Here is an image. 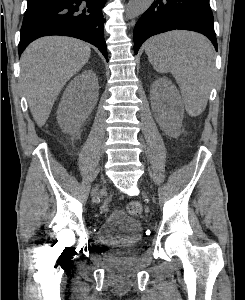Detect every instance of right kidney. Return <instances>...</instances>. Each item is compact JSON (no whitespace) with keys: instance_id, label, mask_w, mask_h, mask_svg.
I'll list each match as a JSON object with an SVG mask.
<instances>
[{"instance_id":"1","label":"right kidney","mask_w":245,"mask_h":300,"mask_svg":"<svg viewBox=\"0 0 245 300\" xmlns=\"http://www.w3.org/2000/svg\"><path fill=\"white\" fill-rule=\"evenodd\" d=\"M98 78L93 70L83 71L66 87L57 111V121L66 133L79 135V128L97 104Z\"/></svg>"}]
</instances>
